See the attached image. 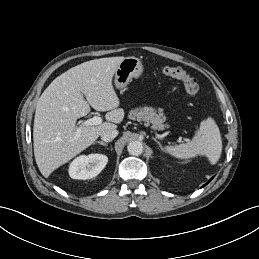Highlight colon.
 Masks as SVG:
<instances>
[{
	"instance_id": "obj_1",
	"label": "colon",
	"mask_w": 259,
	"mask_h": 259,
	"mask_svg": "<svg viewBox=\"0 0 259 259\" xmlns=\"http://www.w3.org/2000/svg\"><path fill=\"white\" fill-rule=\"evenodd\" d=\"M164 75L178 79L182 82L186 93L191 97L195 98L199 92V85L194 77H192L185 70L178 67L166 66L162 69Z\"/></svg>"
}]
</instances>
